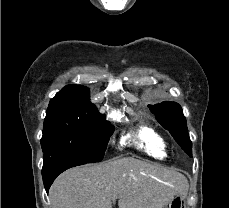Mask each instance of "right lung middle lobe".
I'll use <instances>...</instances> for the list:
<instances>
[{
    "instance_id": "1",
    "label": "right lung middle lobe",
    "mask_w": 229,
    "mask_h": 208,
    "mask_svg": "<svg viewBox=\"0 0 229 208\" xmlns=\"http://www.w3.org/2000/svg\"><path fill=\"white\" fill-rule=\"evenodd\" d=\"M113 131L105 120L69 108L48 107L41 138L42 171L62 161H101Z\"/></svg>"
}]
</instances>
